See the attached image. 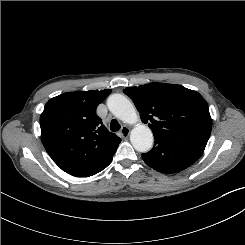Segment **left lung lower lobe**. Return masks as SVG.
<instances>
[{
    "instance_id": "left-lung-lower-lobe-1",
    "label": "left lung lower lobe",
    "mask_w": 245,
    "mask_h": 245,
    "mask_svg": "<svg viewBox=\"0 0 245 245\" xmlns=\"http://www.w3.org/2000/svg\"><path fill=\"white\" fill-rule=\"evenodd\" d=\"M154 147L142 154L144 162L162 173H178L199 159L203 151L180 142L154 137Z\"/></svg>"
}]
</instances>
